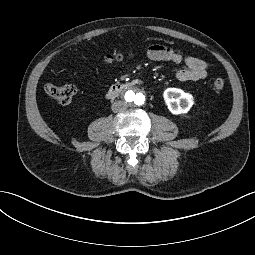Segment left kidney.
<instances>
[{"instance_id": "obj_1", "label": "left kidney", "mask_w": 255, "mask_h": 255, "mask_svg": "<svg viewBox=\"0 0 255 255\" xmlns=\"http://www.w3.org/2000/svg\"><path fill=\"white\" fill-rule=\"evenodd\" d=\"M163 99L169 112L173 115L188 113L194 104L193 95L178 88L165 89Z\"/></svg>"}]
</instances>
